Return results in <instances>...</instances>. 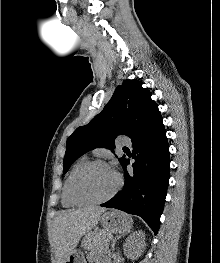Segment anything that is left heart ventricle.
Wrapping results in <instances>:
<instances>
[{
  "label": "left heart ventricle",
  "mask_w": 220,
  "mask_h": 263,
  "mask_svg": "<svg viewBox=\"0 0 220 263\" xmlns=\"http://www.w3.org/2000/svg\"><path fill=\"white\" fill-rule=\"evenodd\" d=\"M116 184L117 176L110 166L96 165L78 177L75 193L83 199H99L109 194Z\"/></svg>",
  "instance_id": "left-heart-ventricle-1"
}]
</instances>
